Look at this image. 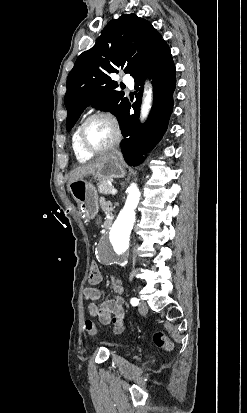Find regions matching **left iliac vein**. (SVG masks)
I'll list each match as a JSON object with an SVG mask.
<instances>
[{
  "instance_id": "1",
  "label": "left iliac vein",
  "mask_w": 247,
  "mask_h": 413,
  "mask_svg": "<svg viewBox=\"0 0 247 413\" xmlns=\"http://www.w3.org/2000/svg\"><path fill=\"white\" fill-rule=\"evenodd\" d=\"M139 312L141 314H144L148 311L147 304L144 301H140L139 306H138Z\"/></svg>"
}]
</instances>
